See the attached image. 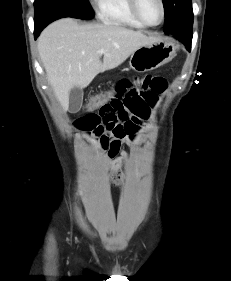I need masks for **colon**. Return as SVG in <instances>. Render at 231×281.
I'll use <instances>...</instances> for the list:
<instances>
[{"label":"colon","mask_w":231,"mask_h":281,"mask_svg":"<svg viewBox=\"0 0 231 281\" xmlns=\"http://www.w3.org/2000/svg\"><path fill=\"white\" fill-rule=\"evenodd\" d=\"M111 94H112L111 91L108 90L106 92L100 93V94L92 97L90 99V101L88 102V105H87L88 108L89 109L100 108L101 106H103L104 104H106L110 101ZM112 180L116 185H119L122 183L123 176L118 169H115L112 172Z\"/></svg>","instance_id":"obj_1"}]
</instances>
